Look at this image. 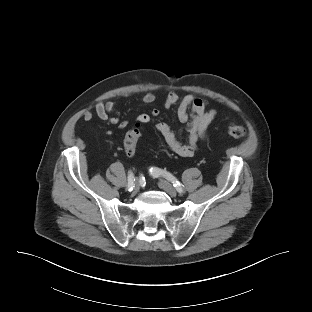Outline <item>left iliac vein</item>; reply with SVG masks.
<instances>
[{
	"instance_id": "4c4485c4",
	"label": "left iliac vein",
	"mask_w": 312,
	"mask_h": 312,
	"mask_svg": "<svg viewBox=\"0 0 312 312\" xmlns=\"http://www.w3.org/2000/svg\"><path fill=\"white\" fill-rule=\"evenodd\" d=\"M159 187L164 190L166 193H168L170 196L175 197L177 195L176 189L166 181H160Z\"/></svg>"
}]
</instances>
